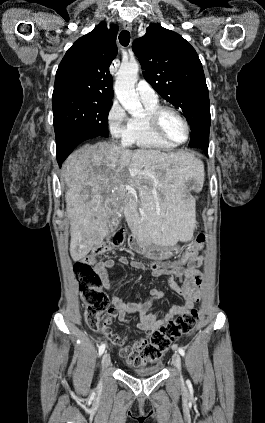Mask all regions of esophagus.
Listing matches in <instances>:
<instances>
[{
	"label": "esophagus",
	"instance_id": "esophagus-1",
	"mask_svg": "<svg viewBox=\"0 0 265 423\" xmlns=\"http://www.w3.org/2000/svg\"><path fill=\"white\" fill-rule=\"evenodd\" d=\"M123 28L125 30L131 31L132 30V24L130 22H124L123 23Z\"/></svg>",
	"mask_w": 265,
	"mask_h": 423
}]
</instances>
